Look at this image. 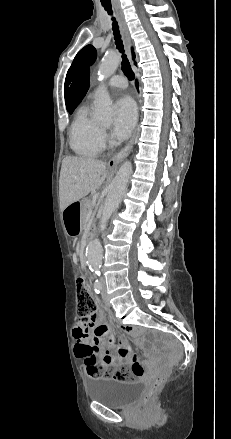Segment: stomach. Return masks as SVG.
I'll use <instances>...</instances> for the list:
<instances>
[{"label":"stomach","mask_w":231,"mask_h":439,"mask_svg":"<svg viewBox=\"0 0 231 439\" xmlns=\"http://www.w3.org/2000/svg\"><path fill=\"white\" fill-rule=\"evenodd\" d=\"M68 207L63 211V224L64 229L69 235H76L79 233V221L75 218H69L66 213Z\"/></svg>","instance_id":"1"}]
</instances>
